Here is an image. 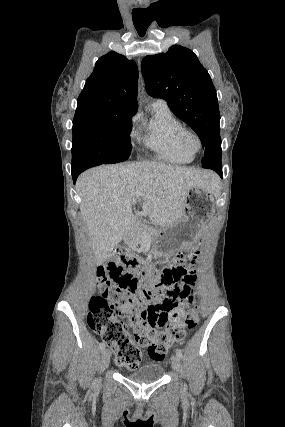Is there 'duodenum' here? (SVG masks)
<instances>
[{
    "label": "duodenum",
    "instance_id": "obj_1",
    "mask_svg": "<svg viewBox=\"0 0 285 427\" xmlns=\"http://www.w3.org/2000/svg\"><path fill=\"white\" fill-rule=\"evenodd\" d=\"M133 230L140 234L144 232V228L142 226H134Z\"/></svg>",
    "mask_w": 285,
    "mask_h": 427
}]
</instances>
